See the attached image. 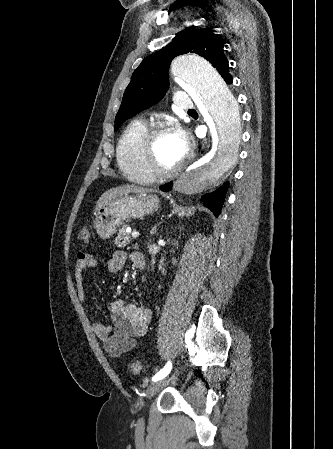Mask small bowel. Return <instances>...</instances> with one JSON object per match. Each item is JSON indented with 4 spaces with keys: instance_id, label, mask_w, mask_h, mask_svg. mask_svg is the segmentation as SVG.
I'll return each instance as SVG.
<instances>
[{
    "instance_id": "c3829d8e",
    "label": "small bowel",
    "mask_w": 333,
    "mask_h": 449,
    "mask_svg": "<svg viewBox=\"0 0 333 449\" xmlns=\"http://www.w3.org/2000/svg\"><path fill=\"white\" fill-rule=\"evenodd\" d=\"M133 254L130 255L132 260ZM127 254L124 251L113 253L108 262V269L112 273L120 272L126 263ZM96 261L94 257L86 252L77 254V261L74 268V279L78 297L81 301L85 299L84 273L87 269L94 267ZM113 324L96 322L93 330L96 336L102 341L104 349L112 356L119 357L132 350L138 340L144 336L148 330L151 311L134 303L124 300H115L110 303Z\"/></svg>"
}]
</instances>
